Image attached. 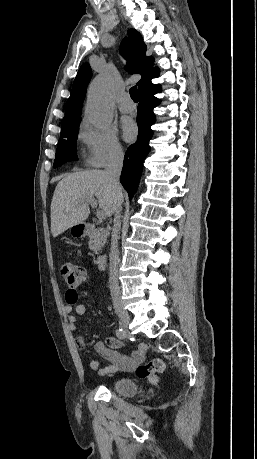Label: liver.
<instances>
[{"label":"liver","instance_id":"1","mask_svg":"<svg viewBox=\"0 0 257 459\" xmlns=\"http://www.w3.org/2000/svg\"><path fill=\"white\" fill-rule=\"evenodd\" d=\"M94 197L106 216L114 213V195L104 170L80 171L59 181L51 202L52 236L83 223L90 214L86 200Z\"/></svg>","mask_w":257,"mask_h":459}]
</instances>
